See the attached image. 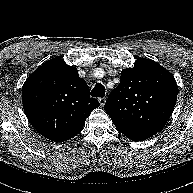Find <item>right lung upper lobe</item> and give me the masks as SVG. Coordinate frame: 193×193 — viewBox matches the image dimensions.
<instances>
[{"instance_id": "cb5924a9", "label": "right lung upper lobe", "mask_w": 193, "mask_h": 193, "mask_svg": "<svg viewBox=\"0 0 193 193\" xmlns=\"http://www.w3.org/2000/svg\"><path fill=\"white\" fill-rule=\"evenodd\" d=\"M22 102L31 125L45 138L62 142L76 136L100 103L89 96L77 68L55 57L25 81Z\"/></svg>"}]
</instances>
